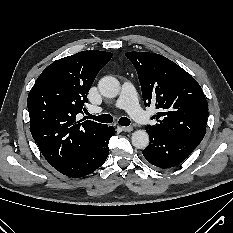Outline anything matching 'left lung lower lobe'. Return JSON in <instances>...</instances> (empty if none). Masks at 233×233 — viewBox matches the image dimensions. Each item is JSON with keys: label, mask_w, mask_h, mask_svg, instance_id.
<instances>
[{"label": "left lung lower lobe", "mask_w": 233, "mask_h": 233, "mask_svg": "<svg viewBox=\"0 0 233 233\" xmlns=\"http://www.w3.org/2000/svg\"><path fill=\"white\" fill-rule=\"evenodd\" d=\"M150 143L142 151L145 159L159 168H170L184 161L196 148L197 144L188 140L166 135L153 130H146Z\"/></svg>", "instance_id": "left-lung-lower-lobe-1"}]
</instances>
